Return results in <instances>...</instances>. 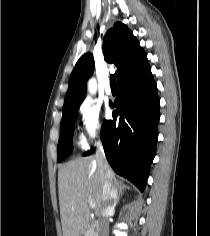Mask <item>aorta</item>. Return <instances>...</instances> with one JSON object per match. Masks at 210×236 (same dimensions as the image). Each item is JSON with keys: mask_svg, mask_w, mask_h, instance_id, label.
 <instances>
[{"mask_svg": "<svg viewBox=\"0 0 210 236\" xmlns=\"http://www.w3.org/2000/svg\"><path fill=\"white\" fill-rule=\"evenodd\" d=\"M97 88L96 80L94 78L90 79L88 82V90L91 94H95Z\"/></svg>", "mask_w": 210, "mask_h": 236, "instance_id": "aorta-1", "label": "aorta"}]
</instances>
